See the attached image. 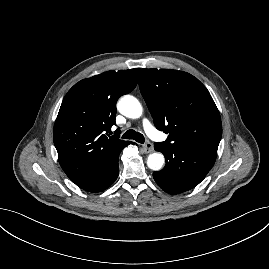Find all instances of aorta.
Returning a JSON list of instances; mask_svg holds the SVG:
<instances>
[{"label":"aorta","instance_id":"aorta-1","mask_svg":"<svg viewBox=\"0 0 269 269\" xmlns=\"http://www.w3.org/2000/svg\"><path fill=\"white\" fill-rule=\"evenodd\" d=\"M118 111L124 116L132 119L141 117L143 109L140 102L131 95L123 96L117 104ZM165 158L162 153L154 152L148 155L147 166L153 171L162 169Z\"/></svg>","mask_w":269,"mask_h":269}]
</instances>
